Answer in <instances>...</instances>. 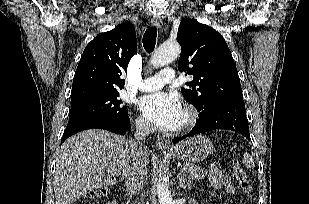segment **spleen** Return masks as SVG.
Wrapping results in <instances>:
<instances>
[{"instance_id": "spleen-1", "label": "spleen", "mask_w": 309, "mask_h": 204, "mask_svg": "<svg viewBox=\"0 0 309 204\" xmlns=\"http://www.w3.org/2000/svg\"><path fill=\"white\" fill-rule=\"evenodd\" d=\"M243 163L247 168H252L255 166L254 159L252 156L248 153L243 154Z\"/></svg>"}]
</instances>
